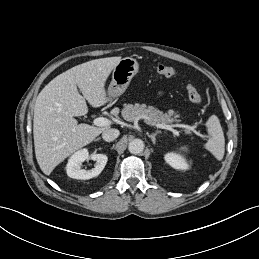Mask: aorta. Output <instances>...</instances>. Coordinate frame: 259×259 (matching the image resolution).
<instances>
[{
  "instance_id": "762f6f07",
  "label": "aorta",
  "mask_w": 259,
  "mask_h": 259,
  "mask_svg": "<svg viewBox=\"0 0 259 259\" xmlns=\"http://www.w3.org/2000/svg\"><path fill=\"white\" fill-rule=\"evenodd\" d=\"M128 150L132 154H140L144 150V142L141 139H133L128 145Z\"/></svg>"
}]
</instances>
